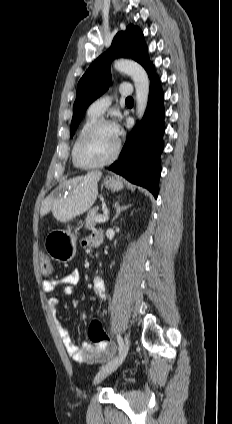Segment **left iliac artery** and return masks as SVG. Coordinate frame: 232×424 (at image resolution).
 Masks as SVG:
<instances>
[{
    "label": "left iliac artery",
    "instance_id": "left-iliac-artery-1",
    "mask_svg": "<svg viewBox=\"0 0 232 424\" xmlns=\"http://www.w3.org/2000/svg\"><path fill=\"white\" fill-rule=\"evenodd\" d=\"M117 342H118V345H119V352H120L123 348L124 343H123L122 338L119 335L117 336Z\"/></svg>",
    "mask_w": 232,
    "mask_h": 424
}]
</instances>
